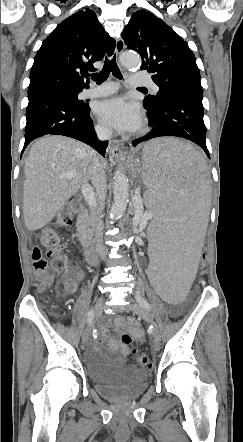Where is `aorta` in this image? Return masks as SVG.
<instances>
[{
	"instance_id": "1",
	"label": "aorta",
	"mask_w": 243,
	"mask_h": 442,
	"mask_svg": "<svg viewBox=\"0 0 243 442\" xmlns=\"http://www.w3.org/2000/svg\"><path fill=\"white\" fill-rule=\"evenodd\" d=\"M121 64L127 69H138L141 65L139 56L132 53H125L121 56ZM113 203L110 211V220L115 221L120 218L129 201V181L125 175L123 167L119 166L114 174Z\"/></svg>"
}]
</instances>
